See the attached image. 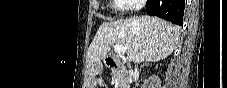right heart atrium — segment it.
<instances>
[{
	"label": "right heart atrium",
	"instance_id": "right-heart-atrium-1",
	"mask_svg": "<svg viewBox=\"0 0 227 88\" xmlns=\"http://www.w3.org/2000/svg\"><path fill=\"white\" fill-rule=\"evenodd\" d=\"M121 1V4L123 5V9L127 12H134L138 11L146 3V0H119Z\"/></svg>",
	"mask_w": 227,
	"mask_h": 88
}]
</instances>
